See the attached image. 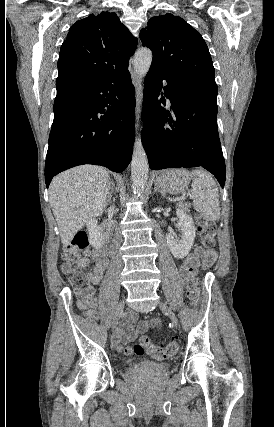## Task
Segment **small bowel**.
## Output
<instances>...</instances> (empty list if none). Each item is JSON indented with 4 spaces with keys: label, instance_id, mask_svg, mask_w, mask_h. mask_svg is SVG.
<instances>
[{
    "label": "small bowel",
    "instance_id": "1",
    "mask_svg": "<svg viewBox=\"0 0 274 427\" xmlns=\"http://www.w3.org/2000/svg\"><path fill=\"white\" fill-rule=\"evenodd\" d=\"M212 254H216V251H212ZM91 260L93 262V268L90 273L86 274V276L91 283L98 284L101 281L103 274L108 266V258L104 248L99 246L97 248H88L84 250L77 262L78 268L85 269L90 264ZM206 266L211 270L215 265L210 261ZM79 306L82 311L90 314L85 304L81 303ZM136 319L137 317L135 314L128 315L124 328L118 329L113 335V343L115 345L118 346L121 343L130 342L136 338L138 333H144L151 325L158 326L159 324V320L153 318L151 320L140 322L137 329H135Z\"/></svg>",
    "mask_w": 274,
    "mask_h": 427
}]
</instances>
